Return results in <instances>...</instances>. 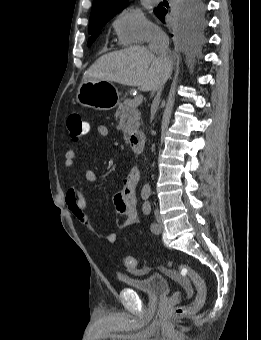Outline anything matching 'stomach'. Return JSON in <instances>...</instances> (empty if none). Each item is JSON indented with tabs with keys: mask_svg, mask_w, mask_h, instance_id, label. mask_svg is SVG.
Masks as SVG:
<instances>
[{
	"mask_svg": "<svg viewBox=\"0 0 261 340\" xmlns=\"http://www.w3.org/2000/svg\"><path fill=\"white\" fill-rule=\"evenodd\" d=\"M120 96L121 93L112 82L88 79L80 84L76 100L84 107L107 111L119 104Z\"/></svg>",
	"mask_w": 261,
	"mask_h": 340,
	"instance_id": "obj_1",
	"label": "stomach"
}]
</instances>
